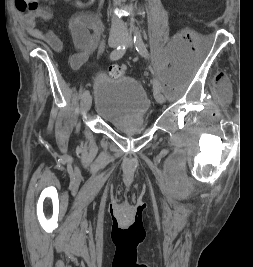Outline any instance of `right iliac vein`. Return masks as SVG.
<instances>
[{
  "label": "right iliac vein",
  "mask_w": 253,
  "mask_h": 267,
  "mask_svg": "<svg viewBox=\"0 0 253 267\" xmlns=\"http://www.w3.org/2000/svg\"><path fill=\"white\" fill-rule=\"evenodd\" d=\"M123 41V38L122 37H118V36H115L113 38H111L109 41H108V45L111 47V48H116L117 46H119ZM91 103H92V97L90 95H87L84 99H83V104H82V110L83 112H88L91 108Z\"/></svg>",
  "instance_id": "right-iliac-vein-1"
}]
</instances>
